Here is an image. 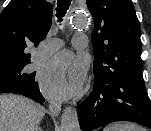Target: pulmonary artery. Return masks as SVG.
Listing matches in <instances>:
<instances>
[{
	"instance_id": "1",
	"label": "pulmonary artery",
	"mask_w": 151,
	"mask_h": 131,
	"mask_svg": "<svg viewBox=\"0 0 151 131\" xmlns=\"http://www.w3.org/2000/svg\"><path fill=\"white\" fill-rule=\"evenodd\" d=\"M73 44L78 49H84L87 46V37L84 34H76L73 38ZM61 46V42L59 40H53L44 45L40 51V57H46L58 50Z\"/></svg>"
}]
</instances>
